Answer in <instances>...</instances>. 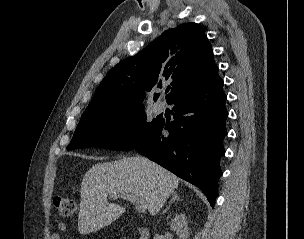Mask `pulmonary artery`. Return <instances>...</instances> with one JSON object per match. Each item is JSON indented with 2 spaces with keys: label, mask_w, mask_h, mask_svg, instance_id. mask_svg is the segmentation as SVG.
<instances>
[{
  "label": "pulmonary artery",
  "mask_w": 304,
  "mask_h": 239,
  "mask_svg": "<svg viewBox=\"0 0 304 239\" xmlns=\"http://www.w3.org/2000/svg\"><path fill=\"white\" fill-rule=\"evenodd\" d=\"M165 108H166V104L163 101H158L155 104V111L158 113L163 112L165 110Z\"/></svg>",
  "instance_id": "obj_1"
}]
</instances>
